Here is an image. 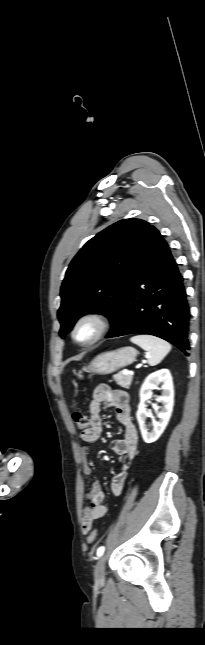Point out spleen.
<instances>
[{
    "mask_svg": "<svg viewBox=\"0 0 205 645\" xmlns=\"http://www.w3.org/2000/svg\"><path fill=\"white\" fill-rule=\"evenodd\" d=\"M130 340L146 351L150 366L159 364L171 350L168 342L152 335H136Z\"/></svg>",
    "mask_w": 205,
    "mask_h": 645,
    "instance_id": "1",
    "label": "spleen"
}]
</instances>
